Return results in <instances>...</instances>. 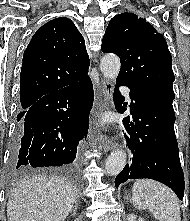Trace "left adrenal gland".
<instances>
[{
  "mask_svg": "<svg viewBox=\"0 0 190 221\" xmlns=\"http://www.w3.org/2000/svg\"><path fill=\"white\" fill-rule=\"evenodd\" d=\"M125 200H130V195L128 194V196L125 197Z\"/></svg>",
  "mask_w": 190,
  "mask_h": 221,
  "instance_id": "a2214340",
  "label": "left adrenal gland"
}]
</instances>
